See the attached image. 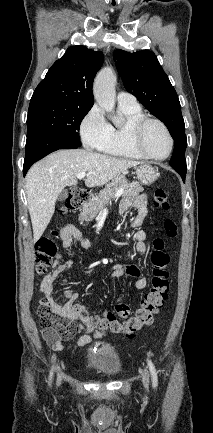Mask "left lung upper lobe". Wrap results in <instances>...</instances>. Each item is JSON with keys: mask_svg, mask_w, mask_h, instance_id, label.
<instances>
[{"mask_svg": "<svg viewBox=\"0 0 213 433\" xmlns=\"http://www.w3.org/2000/svg\"><path fill=\"white\" fill-rule=\"evenodd\" d=\"M116 67L126 90L133 94L151 114L161 120L174 139L170 165L176 171H187L185 150L187 138L177 93L150 51L113 53Z\"/></svg>", "mask_w": 213, "mask_h": 433, "instance_id": "left-lung-upper-lobe-1", "label": "left lung upper lobe"}]
</instances>
